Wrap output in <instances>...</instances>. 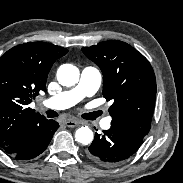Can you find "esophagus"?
<instances>
[{"instance_id": "1", "label": "esophagus", "mask_w": 183, "mask_h": 183, "mask_svg": "<svg viewBox=\"0 0 183 183\" xmlns=\"http://www.w3.org/2000/svg\"><path fill=\"white\" fill-rule=\"evenodd\" d=\"M83 123V121L81 120H76V119H68V120H65L64 121V124L67 126V127H76L77 125Z\"/></svg>"}]
</instances>
